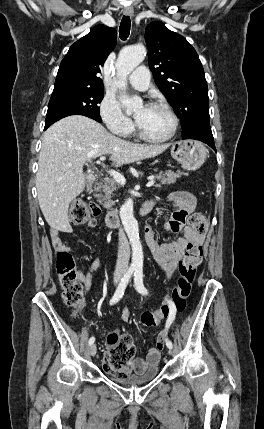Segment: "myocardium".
<instances>
[{
    "instance_id": "1",
    "label": "myocardium",
    "mask_w": 264,
    "mask_h": 429,
    "mask_svg": "<svg viewBox=\"0 0 264 429\" xmlns=\"http://www.w3.org/2000/svg\"><path fill=\"white\" fill-rule=\"evenodd\" d=\"M147 107H152V108H158V109H162L164 110L171 118L172 120V129L170 131V133L164 137L161 138H153V137H149L147 136L142 129L140 128V126L138 125L137 121L135 122V129H136V133L138 135V137L146 142H150V143H163L166 141H169L170 139H172L178 130V126H179V119L176 115V113L172 110V108L164 103V102H160V101H154V102H150L148 103Z\"/></svg>"
}]
</instances>
